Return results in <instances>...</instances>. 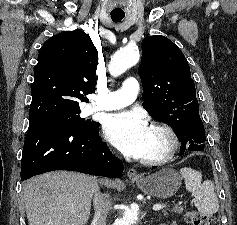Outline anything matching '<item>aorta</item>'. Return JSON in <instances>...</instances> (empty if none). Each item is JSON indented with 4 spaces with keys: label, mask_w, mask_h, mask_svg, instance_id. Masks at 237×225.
Wrapping results in <instances>:
<instances>
[{
    "label": "aorta",
    "mask_w": 237,
    "mask_h": 225,
    "mask_svg": "<svg viewBox=\"0 0 237 225\" xmlns=\"http://www.w3.org/2000/svg\"><path fill=\"white\" fill-rule=\"evenodd\" d=\"M140 58V54L135 47H126L111 58L109 65V72L113 76H119L128 68L135 65ZM138 220V210L133 208H126L122 217L117 218L113 225H134Z\"/></svg>",
    "instance_id": "obj_1"
}]
</instances>
